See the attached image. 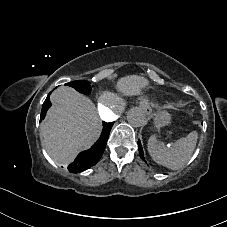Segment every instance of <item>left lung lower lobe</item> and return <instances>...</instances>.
Masks as SVG:
<instances>
[{"instance_id":"left-lung-lower-lobe-1","label":"left lung lower lobe","mask_w":227,"mask_h":227,"mask_svg":"<svg viewBox=\"0 0 227 227\" xmlns=\"http://www.w3.org/2000/svg\"><path fill=\"white\" fill-rule=\"evenodd\" d=\"M138 148H139L140 157H141L143 160H145V159H144L143 149H142V146H141V142H140V141H138Z\"/></svg>"}]
</instances>
